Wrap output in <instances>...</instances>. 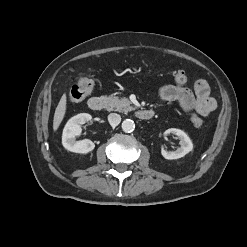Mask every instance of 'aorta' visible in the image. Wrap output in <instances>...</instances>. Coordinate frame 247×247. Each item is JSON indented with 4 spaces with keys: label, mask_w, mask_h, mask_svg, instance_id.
<instances>
[{
    "label": "aorta",
    "mask_w": 247,
    "mask_h": 247,
    "mask_svg": "<svg viewBox=\"0 0 247 247\" xmlns=\"http://www.w3.org/2000/svg\"><path fill=\"white\" fill-rule=\"evenodd\" d=\"M135 129V123L131 119H125L122 123V130L126 133H131Z\"/></svg>",
    "instance_id": "aorta-1"
}]
</instances>
